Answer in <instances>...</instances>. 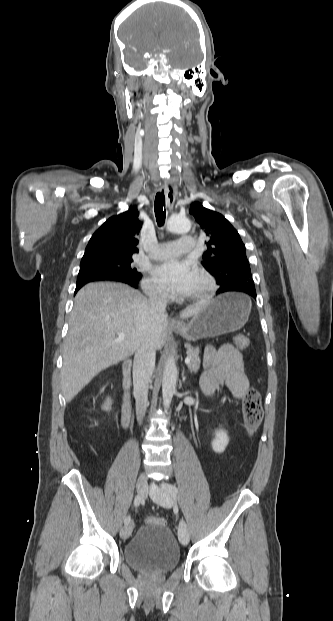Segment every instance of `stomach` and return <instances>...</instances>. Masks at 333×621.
I'll use <instances>...</instances> for the list:
<instances>
[{
    "label": "stomach",
    "instance_id": "0dacf381",
    "mask_svg": "<svg viewBox=\"0 0 333 621\" xmlns=\"http://www.w3.org/2000/svg\"><path fill=\"white\" fill-rule=\"evenodd\" d=\"M251 310L248 297L241 293H225L208 301L190 321L188 341L213 338L240 329Z\"/></svg>",
    "mask_w": 333,
    "mask_h": 621
}]
</instances>
